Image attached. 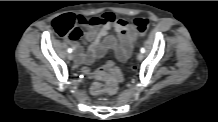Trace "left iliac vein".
<instances>
[{
  "mask_svg": "<svg viewBox=\"0 0 218 122\" xmlns=\"http://www.w3.org/2000/svg\"><path fill=\"white\" fill-rule=\"evenodd\" d=\"M143 53L142 52H140L138 55H137V59L139 60V61H141L142 59H143Z\"/></svg>",
  "mask_w": 218,
  "mask_h": 122,
  "instance_id": "4c4485c4",
  "label": "left iliac vein"
}]
</instances>
